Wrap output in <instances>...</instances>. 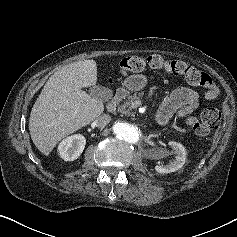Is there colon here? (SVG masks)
<instances>
[{
	"instance_id": "obj_1",
	"label": "colon",
	"mask_w": 237,
	"mask_h": 237,
	"mask_svg": "<svg viewBox=\"0 0 237 237\" xmlns=\"http://www.w3.org/2000/svg\"><path fill=\"white\" fill-rule=\"evenodd\" d=\"M146 67L163 70L167 74L184 77L190 84L200 86L204 90V98L215 99L219 93L218 87L212 78L197 68L181 60H167L160 55H151L146 58L129 56L119 63V72L122 75L131 72L143 71ZM221 115L215 108H206L200 118L189 116L186 118L187 125L199 136L209 135L219 125Z\"/></svg>"
}]
</instances>
